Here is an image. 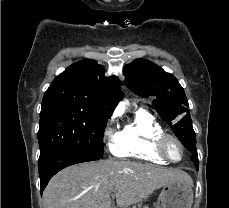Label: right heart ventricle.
Wrapping results in <instances>:
<instances>
[{
  "instance_id": "right-heart-ventricle-1",
  "label": "right heart ventricle",
  "mask_w": 229,
  "mask_h": 208,
  "mask_svg": "<svg viewBox=\"0 0 229 208\" xmlns=\"http://www.w3.org/2000/svg\"><path fill=\"white\" fill-rule=\"evenodd\" d=\"M164 133L163 126L147 110L138 109L118 133L113 153L121 158L168 165L170 161L167 158H161V153L154 152Z\"/></svg>"
}]
</instances>
